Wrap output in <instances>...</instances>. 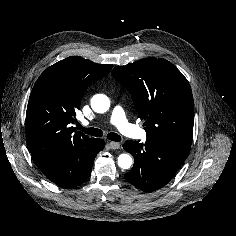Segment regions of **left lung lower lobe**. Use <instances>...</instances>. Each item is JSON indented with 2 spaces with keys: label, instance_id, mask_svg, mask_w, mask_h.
Instances as JSON below:
<instances>
[{
  "label": "left lung lower lobe",
  "instance_id": "1",
  "mask_svg": "<svg viewBox=\"0 0 236 236\" xmlns=\"http://www.w3.org/2000/svg\"><path fill=\"white\" fill-rule=\"evenodd\" d=\"M123 148L135 159L133 168L125 178L144 192L155 191L167 184L190 151L153 139H147L144 143L128 140Z\"/></svg>",
  "mask_w": 236,
  "mask_h": 236
}]
</instances>
